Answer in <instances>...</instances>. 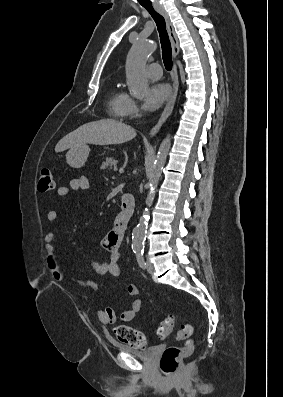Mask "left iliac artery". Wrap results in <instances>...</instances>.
I'll return each instance as SVG.
<instances>
[{"instance_id":"left-iliac-artery-1","label":"left iliac artery","mask_w":283,"mask_h":397,"mask_svg":"<svg viewBox=\"0 0 283 397\" xmlns=\"http://www.w3.org/2000/svg\"><path fill=\"white\" fill-rule=\"evenodd\" d=\"M135 254H136V259H137L139 266L144 269L146 267V263L144 261L143 250L135 251Z\"/></svg>"}]
</instances>
